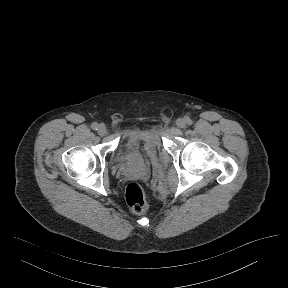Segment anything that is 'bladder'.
<instances>
[{"instance_id":"31cf9c89","label":"bladder","mask_w":288,"mask_h":288,"mask_svg":"<svg viewBox=\"0 0 288 288\" xmlns=\"http://www.w3.org/2000/svg\"><path fill=\"white\" fill-rule=\"evenodd\" d=\"M160 149V139L153 129H133L126 132L114 152L122 164H136L144 158H154Z\"/></svg>"}]
</instances>
